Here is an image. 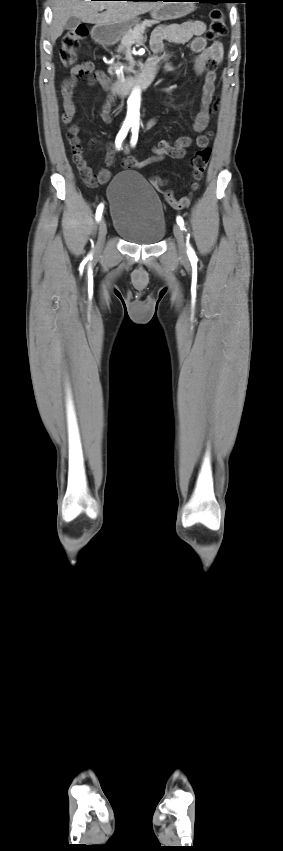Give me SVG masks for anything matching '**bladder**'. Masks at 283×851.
<instances>
[{
	"label": "bladder",
	"instance_id": "obj_1",
	"mask_svg": "<svg viewBox=\"0 0 283 851\" xmlns=\"http://www.w3.org/2000/svg\"><path fill=\"white\" fill-rule=\"evenodd\" d=\"M115 231L126 241L139 245L160 242L166 220L157 191L138 173L117 174L107 188Z\"/></svg>",
	"mask_w": 283,
	"mask_h": 851
}]
</instances>
